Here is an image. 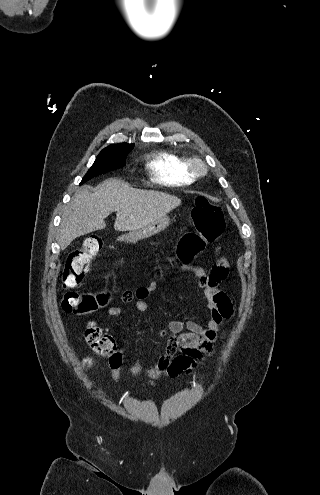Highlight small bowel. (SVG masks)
I'll list each match as a JSON object with an SVG mask.
<instances>
[{"label": "small bowel", "instance_id": "obj_1", "mask_svg": "<svg viewBox=\"0 0 320 495\" xmlns=\"http://www.w3.org/2000/svg\"><path fill=\"white\" fill-rule=\"evenodd\" d=\"M229 262L222 256V247L218 244L214 250V263L209 274L200 267L183 265L181 270L191 272L204 290L206 298L205 311L208 315L206 326L195 321H169L157 331L159 340L166 339L165 354L162 355L154 368H144L142 360L137 359L130 368L133 376L145 373L151 380L148 385L153 386L155 379L160 376L177 377L189 373L205 357L214 353V343L218 339L220 327L224 320L233 314L231 301L223 291L217 289L216 284L226 278ZM157 284L151 282L139 287L135 292L126 290L122 294L124 303H131L136 296L135 308L140 312L148 310L146 299L151 293L156 292ZM122 313L120 307L112 306L107 310L111 317H117ZM178 354V355H177ZM117 363H111L112 377L115 382L120 381L121 357L118 354Z\"/></svg>", "mask_w": 320, "mask_h": 495}]
</instances>
